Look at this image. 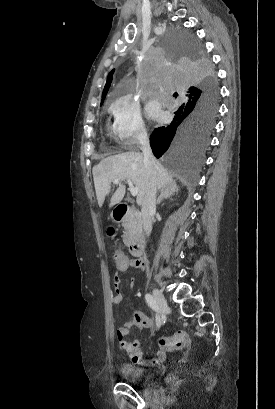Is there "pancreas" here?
<instances>
[{
  "mask_svg": "<svg viewBox=\"0 0 275 409\" xmlns=\"http://www.w3.org/2000/svg\"><path fill=\"white\" fill-rule=\"evenodd\" d=\"M122 227L125 229V233L123 235V243L128 247L130 245L133 237L137 235V233H141L142 231V223L140 219V215L135 213L133 209H130L129 213H127L126 217H124L122 221Z\"/></svg>",
  "mask_w": 275,
  "mask_h": 409,
  "instance_id": "obj_1",
  "label": "pancreas"
}]
</instances>
